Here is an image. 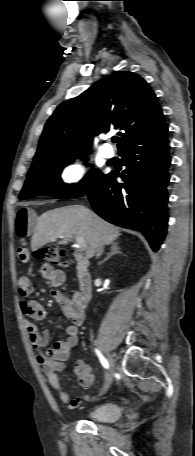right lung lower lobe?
<instances>
[{"label":"right lung lower lobe","mask_w":195,"mask_h":456,"mask_svg":"<svg viewBox=\"0 0 195 456\" xmlns=\"http://www.w3.org/2000/svg\"><path fill=\"white\" fill-rule=\"evenodd\" d=\"M119 155L127 169L119 175H104L89 191L95 212L115 225L141 231L157 251L167 229L166 204L170 165L169 141L139 139L125 145Z\"/></svg>","instance_id":"98d812e1"}]
</instances>
